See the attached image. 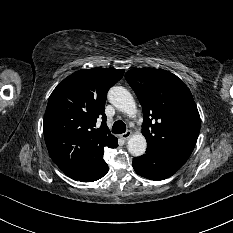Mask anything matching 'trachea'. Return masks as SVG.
Masks as SVG:
<instances>
[{
    "mask_svg": "<svg viewBox=\"0 0 233 233\" xmlns=\"http://www.w3.org/2000/svg\"><path fill=\"white\" fill-rule=\"evenodd\" d=\"M125 131H126V124L123 121L118 120L113 124L112 127L113 133L120 134V133H124Z\"/></svg>",
    "mask_w": 233,
    "mask_h": 233,
    "instance_id": "trachea-1",
    "label": "trachea"
}]
</instances>
